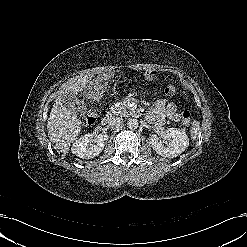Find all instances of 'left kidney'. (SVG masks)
<instances>
[{
  "label": "left kidney",
  "mask_w": 247,
  "mask_h": 247,
  "mask_svg": "<svg viewBox=\"0 0 247 247\" xmlns=\"http://www.w3.org/2000/svg\"><path fill=\"white\" fill-rule=\"evenodd\" d=\"M149 143L157 154L163 157L174 158L185 151L189 145V139L185 130L168 128L161 137L152 135L149 138Z\"/></svg>",
  "instance_id": "obj_1"
}]
</instances>
